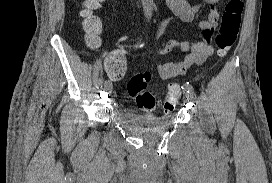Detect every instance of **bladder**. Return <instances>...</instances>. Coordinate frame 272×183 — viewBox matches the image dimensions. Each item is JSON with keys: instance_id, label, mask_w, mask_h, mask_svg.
Returning <instances> with one entry per match:
<instances>
[{"instance_id": "bladder-1", "label": "bladder", "mask_w": 272, "mask_h": 183, "mask_svg": "<svg viewBox=\"0 0 272 183\" xmlns=\"http://www.w3.org/2000/svg\"><path fill=\"white\" fill-rule=\"evenodd\" d=\"M171 119V114H140L129 110H125L122 113V120L127 127L142 132H157L164 130L169 126Z\"/></svg>"}]
</instances>
